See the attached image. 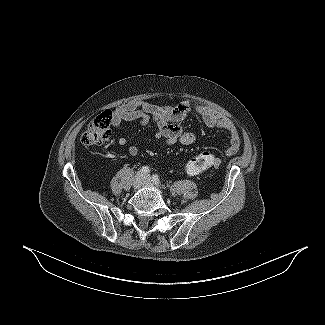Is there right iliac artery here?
<instances>
[{
	"label": "right iliac artery",
	"instance_id": "1",
	"mask_svg": "<svg viewBox=\"0 0 325 325\" xmlns=\"http://www.w3.org/2000/svg\"><path fill=\"white\" fill-rule=\"evenodd\" d=\"M141 171H142L144 174H148V173L150 172V169H149L148 166H143V167L141 168Z\"/></svg>",
	"mask_w": 325,
	"mask_h": 325
}]
</instances>
